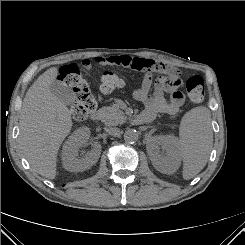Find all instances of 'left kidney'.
<instances>
[{
  "label": "left kidney",
  "mask_w": 245,
  "mask_h": 245,
  "mask_svg": "<svg viewBox=\"0 0 245 245\" xmlns=\"http://www.w3.org/2000/svg\"><path fill=\"white\" fill-rule=\"evenodd\" d=\"M146 148L153 166L158 171L169 174L180 166V148L175 136H153L148 140Z\"/></svg>",
  "instance_id": "left-kidney-1"
}]
</instances>
